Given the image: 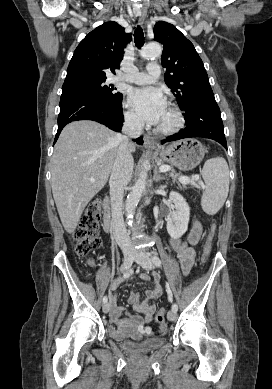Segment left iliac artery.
Instances as JSON below:
<instances>
[{"mask_svg":"<svg viewBox=\"0 0 272 389\" xmlns=\"http://www.w3.org/2000/svg\"><path fill=\"white\" fill-rule=\"evenodd\" d=\"M152 261H153V263H154L157 267H160V266H161V260H160V258H159L158 256H156V255L152 256ZM166 291H167V293H168V298H169V300L171 301V300H172V293H171V290H170V287H169L168 284H166ZM177 310H178L177 304H173V305H172V311L177 312Z\"/></svg>","mask_w":272,"mask_h":389,"instance_id":"1","label":"left iliac artery"}]
</instances>
